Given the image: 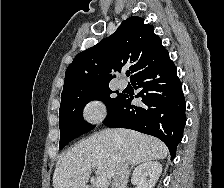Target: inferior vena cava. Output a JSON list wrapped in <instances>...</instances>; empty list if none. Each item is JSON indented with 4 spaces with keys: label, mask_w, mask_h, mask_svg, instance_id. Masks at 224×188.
Returning <instances> with one entry per match:
<instances>
[{
    "label": "inferior vena cava",
    "mask_w": 224,
    "mask_h": 188,
    "mask_svg": "<svg viewBox=\"0 0 224 188\" xmlns=\"http://www.w3.org/2000/svg\"><path fill=\"white\" fill-rule=\"evenodd\" d=\"M129 174V163L122 159L116 168V172L113 177L112 188H126Z\"/></svg>",
    "instance_id": "602c4592"
}]
</instances>
